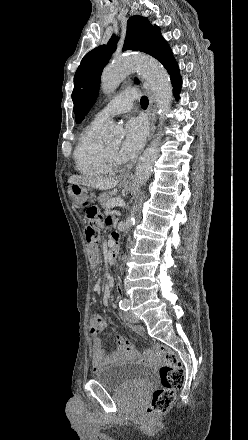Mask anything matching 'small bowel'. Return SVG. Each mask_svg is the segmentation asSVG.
<instances>
[{"label": "small bowel", "instance_id": "obj_1", "mask_svg": "<svg viewBox=\"0 0 248 440\" xmlns=\"http://www.w3.org/2000/svg\"><path fill=\"white\" fill-rule=\"evenodd\" d=\"M109 286H111L110 282ZM106 325L107 323L105 318L100 314L94 315L88 323L89 333L93 338L92 367L94 371L101 369L105 365L112 364L124 359H134L139 357V354L134 346L127 339L118 334L115 335L117 350L109 355H105L102 349V340L100 334L105 330ZM131 328L134 332L138 334L143 333V328L141 326H132ZM146 356V358H151L152 354L148 353Z\"/></svg>", "mask_w": 248, "mask_h": 440}]
</instances>
